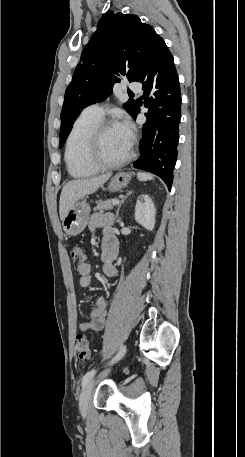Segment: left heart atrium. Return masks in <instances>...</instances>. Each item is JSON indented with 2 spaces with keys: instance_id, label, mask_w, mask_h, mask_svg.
Instances as JSON below:
<instances>
[{
  "instance_id": "1",
  "label": "left heart atrium",
  "mask_w": 245,
  "mask_h": 457,
  "mask_svg": "<svg viewBox=\"0 0 245 457\" xmlns=\"http://www.w3.org/2000/svg\"><path fill=\"white\" fill-rule=\"evenodd\" d=\"M118 131L130 143L133 136L132 125L128 119L123 118L116 126Z\"/></svg>"
}]
</instances>
